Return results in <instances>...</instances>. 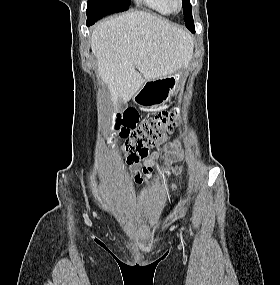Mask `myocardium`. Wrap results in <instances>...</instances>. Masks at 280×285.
Returning <instances> with one entry per match:
<instances>
[{
  "instance_id": "myocardium-1",
  "label": "myocardium",
  "mask_w": 280,
  "mask_h": 285,
  "mask_svg": "<svg viewBox=\"0 0 280 285\" xmlns=\"http://www.w3.org/2000/svg\"><path fill=\"white\" fill-rule=\"evenodd\" d=\"M168 6L173 13H178L183 9V0H167Z\"/></svg>"
}]
</instances>
